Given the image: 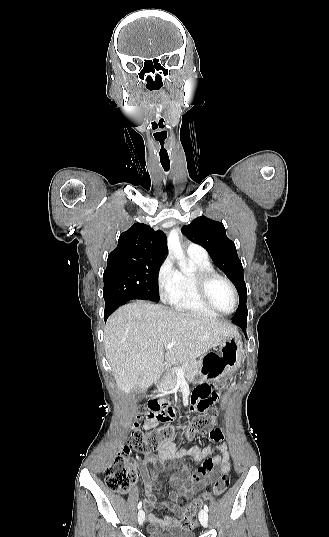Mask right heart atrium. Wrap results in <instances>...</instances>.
Listing matches in <instances>:
<instances>
[{
  "instance_id": "d8ad5b80",
  "label": "right heart atrium",
  "mask_w": 329,
  "mask_h": 537,
  "mask_svg": "<svg viewBox=\"0 0 329 537\" xmlns=\"http://www.w3.org/2000/svg\"><path fill=\"white\" fill-rule=\"evenodd\" d=\"M180 272L175 268L171 259H165L160 265L156 280L160 296L168 301L179 289Z\"/></svg>"
}]
</instances>
